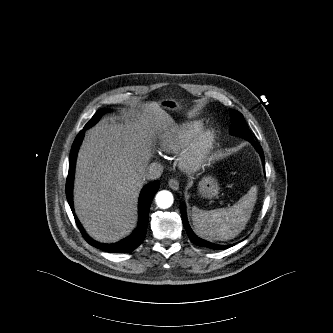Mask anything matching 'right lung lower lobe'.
I'll return each instance as SVG.
<instances>
[{
  "label": "right lung lower lobe",
  "mask_w": 333,
  "mask_h": 333,
  "mask_svg": "<svg viewBox=\"0 0 333 333\" xmlns=\"http://www.w3.org/2000/svg\"><path fill=\"white\" fill-rule=\"evenodd\" d=\"M84 137V130L81 131L78 136L76 137L72 148L70 152V158H69V172L67 177V183H66V195L67 200L70 205V208L72 212L74 213L73 208V201H72V188H73V180H74V171H75V162H76V156L79 149V146L82 142V139ZM159 189V182L154 181L147 186H145L140 194L139 198V222L136 230L127 238L114 243V244H103L99 243L92 238H90L83 227L81 226L78 219L75 217L76 223L78 225V228L80 229L82 235L84 236L85 240L91 244L92 246L99 248L101 250L107 251V252H114V253H120V252H131L134 249H136L141 242L145 238L148 220H149V209L150 205L153 199L154 194Z\"/></svg>",
  "instance_id": "98d812e1"
}]
</instances>
